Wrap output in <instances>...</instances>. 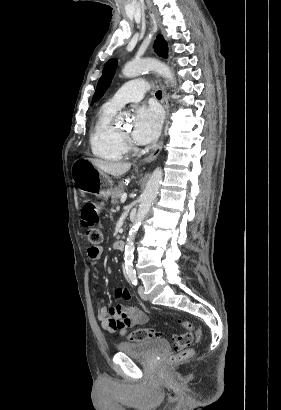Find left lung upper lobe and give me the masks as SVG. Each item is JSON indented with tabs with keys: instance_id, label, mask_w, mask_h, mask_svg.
Wrapping results in <instances>:
<instances>
[{
	"instance_id": "obj_1",
	"label": "left lung upper lobe",
	"mask_w": 281,
	"mask_h": 410,
	"mask_svg": "<svg viewBox=\"0 0 281 410\" xmlns=\"http://www.w3.org/2000/svg\"><path fill=\"white\" fill-rule=\"evenodd\" d=\"M154 47H155V52L163 57V58H167L168 56V48H167V43L166 41L161 37V35H158L155 43H154ZM116 60L115 59H111L109 60L104 69H103V73L101 78L98 81L97 87H96V91L94 93V96L92 98V103L98 101L103 94L105 93V91L107 90V88L109 87L111 80L113 78V75L115 73L116 70Z\"/></svg>"
}]
</instances>
